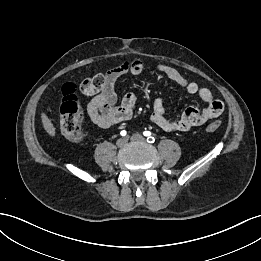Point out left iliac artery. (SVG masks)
Wrapping results in <instances>:
<instances>
[{"label":"left iliac artery","mask_w":261,"mask_h":261,"mask_svg":"<svg viewBox=\"0 0 261 261\" xmlns=\"http://www.w3.org/2000/svg\"><path fill=\"white\" fill-rule=\"evenodd\" d=\"M143 134H144V136H147V142L154 143L155 138L151 136L150 131H144Z\"/></svg>","instance_id":"44dca946"}]
</instances>
